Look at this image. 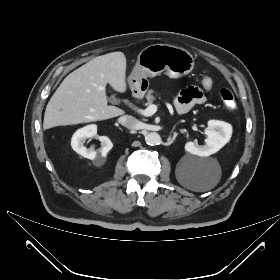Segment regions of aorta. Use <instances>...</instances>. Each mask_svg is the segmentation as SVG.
<instances>
[{
	"label": "aorta",
	"instance_id": "1",
	"mask_svg": "<svg viewBox=\"0 0 280 280\" xmlns=\"http://www.w3.org/2000/svg\"><path fill=\"white\" fill-rule=\"evenodd\" d=\"M145 141L148 145H158L161 141L160 135L156 132L147 133L145 136Z\"/></svg>",
	"mask_w": 280,
	"mask_h": 280
}]
</instances>
